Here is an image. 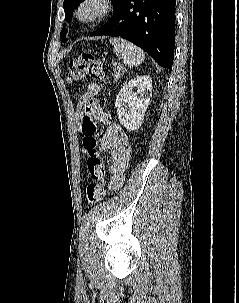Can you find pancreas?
I'll return each instance as SVG.
<instances>
[{
    "label": "pancreas",
    "instance_id": "obj_1",
    "mask_svg": "<svg viewBox=\"0 0 239 303\" xmlns=\"http://www.w3.org/2000/svg\"><path fill=\"white\" fill-rule=\"evenodd\" d=\"M125 68L122 65H118L114 68V81H118L119 78L122 77L123 73L125 72Z\"/></svg>",
    "mask_w": 239,
    "mask_h": 303
}]
</instances>
